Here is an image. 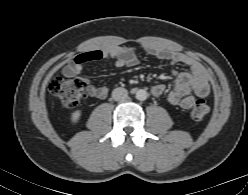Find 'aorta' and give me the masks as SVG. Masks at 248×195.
Masks as SVG:
<instances>
[{"label":"aorta","mask_w":248,"mask_h":195,"mask_svg":"<svg viewBox=\"0 0 248 195\" xmlns=\"http://www.w3.org/2000/svg\"><path fill=\"white\" fill-rule=\"evenodd\" d=\"M147 97H148V94H147L146 90L139 89L136 91V99H138L140 101H144L147 99Z\"/></svg>","instance_id":"762f6f07"}]
</instances>
